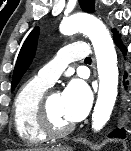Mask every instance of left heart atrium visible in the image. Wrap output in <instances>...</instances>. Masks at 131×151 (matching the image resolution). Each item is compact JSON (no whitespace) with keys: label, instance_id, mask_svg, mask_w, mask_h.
I'll use <instances>...</instances> for the list:
<instances>
[{"label":"left heart atrium","instance_id":"obj_1","mask_svg":"<svg viewBox=\"0 0 131 151\" xmlns=\"http://www.w3.org/2000/svg\"><path fill=\"white\" fill-rule=\"evenodd\" d=\"M61 96L64 114L70 122H78L87 115L92 93L86 82L78 79L71 81Z\"/></svg>","mask_w":131,"mask_h":151}]
</instances>
